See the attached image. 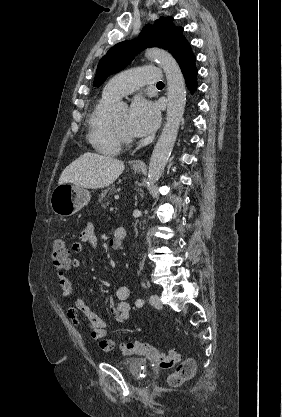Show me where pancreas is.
I'll return each mask as SVG.
<instances>
[{"label": "pancreas", "instance_id": "1", "mask_svg": "<svg viewBox=\"0 0 282 417\" xmlns=\"http://www.w3.org/2000/svg\"><path fill=\"white\" fill-rule=\"evenodd\" d=\"M114 192H117L115 184H111V186H106L105 190L101 192L98 202H100V204H103L107 194H114Z\"/></svg>", "mask_w": 282, "mask_h": 417}]
</instances>
